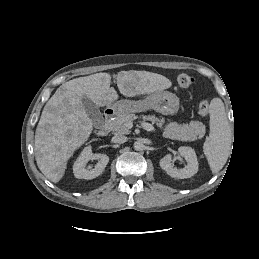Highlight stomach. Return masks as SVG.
I'll use <instances>...</instances> for the list:
<instances>
[{
  "mask_svg": "<svg viewBox=\"0 0 259 259\" xmlns=\"http://www.w3.org/2000/svg\"><path fill=\"white\" fill-rule=\"evenodd\" d=\"M112 107L118 115L141 112L149 109H153L163 115H175L179 110V99L171 92L156 91L141 100H120L114 103Z\"/></svg>",
  "mask_w": 259,
  "mask_h": 259,
  "instance_id": "1",
  "label": "stomach"
}]
</instances>
